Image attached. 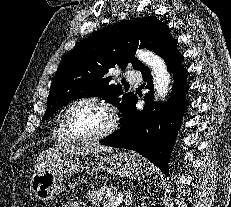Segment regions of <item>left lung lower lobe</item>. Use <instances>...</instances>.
Masks as SVG:
<instances>
[{
	"label": "left lung lower lobe",
	"instance_id": "0a47b994",
	"mask_svg": "<svg viewBox=\"0 0 231 207\" xmlns=\"http://www.w3.org/2000/svg\"><path fill=\"white\" fill-rule=\"evenodd\" d=\"M177 41L172 42L161 54L174 75L173 95L166 103L153 101L151 72L144 67L141 72L146 88L145 106L137 110V97L131 102L121 119V128L101 140V144L134 150L146 157L159 169L168 174V161L180 126L181 116L186 105V70L181 64L182 55L176 49Z\"/></svg>",
	"mask_w": 231,
	"mask_h": 207
}]
</instances>
